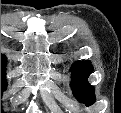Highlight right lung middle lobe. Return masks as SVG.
Wrapping results in <instances>:
<instances>
[{"instance_id":"1","label":"right lung middle lobe","mask_w":121,"mask_h":113,"mask_svg":"<svg viewBox=\"0 0 121 113\" xmlns=\"http://www.w3.org/2000/svg\"><path fill=\"white\" fill-rule=\"evenodd\" d=\"M7 82L5 80V68L1 67V94L6 89Z\"/></svg>"}]
</instances>
